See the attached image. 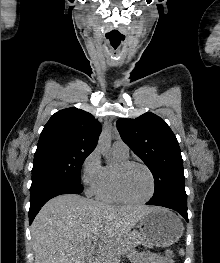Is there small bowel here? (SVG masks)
<instances>
[{
  "mask_svg": "<svg viewBox=\"0 0 220 263\" xmlns=\"http://www.w3.org/2000/svg\"><path fill=\"white\" fill-rule=\"evenodd\" d=\"M140 263H172L171 261L167 260L165 257H161L155 254L147 253L142 258Z\"/></svg>",
  "mask_w": 220,
  "mask_h": 263,
  "instance_id": "small-bowel-1",
  "label": "small bowel"
}]
</instances>
